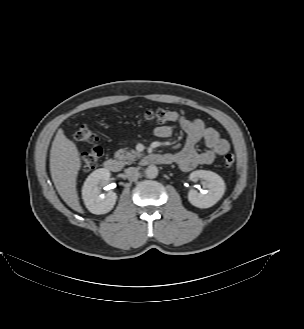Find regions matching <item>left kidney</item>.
<instances>
[{
  "mask_svg": "<svg viewBox=\"0 0 304 329\" xmlns=\"http://www.w3.org/2000/svg\"><path fill=\"white\" fill-rule=\"evenodd\" d=\"M190 180L196 182L198 179L206 181L208 189L206 194L198 193L191 189L188 193L189 202L198 208H209L215 205L224 195L226 186L224 180L216 173L206 170H196L190 174Z\"/></svg>",
  "mask_w": 304,
  "mask_h": 329,
  "instance_id": "obj_1",
  "label": "left kidney"
}]
</instances>
